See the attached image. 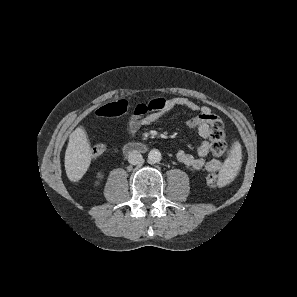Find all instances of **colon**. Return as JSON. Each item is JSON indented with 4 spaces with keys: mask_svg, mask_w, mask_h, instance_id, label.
I'll return each mask as SVG.
<instances>
[{
    "mask_svg": "<svg viewBox=\"0 0 297 297\" xmlns=\"http://www.w3.org/2000/svg\"><path fill=\"white\" fill-rule=\"evenodd\" d=\"M128 102L126 100H118L100 107L96 113L104 117H117L128 111ZM148 106L145 103H139L133 107V114H144ZM227 143L223 132L222 121L216 117L211 124V145L210 152L213 156L220 157L225 154ZM105 151L103 145H95L92 149L93 157L101 156ZM207 184L215 188L218 185V176L210 174L206 178Z\"/></svg>",
    "mask_w": 297,
    "mask_h": 297,
    "instance_id": "5ec220e1",
    "label": "colon"
}]
</instances>
